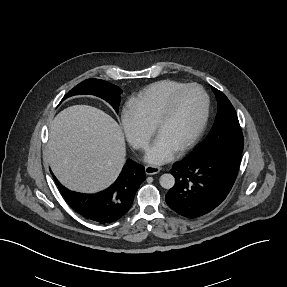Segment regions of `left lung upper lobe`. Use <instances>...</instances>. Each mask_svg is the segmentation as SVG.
Masks as SVG:
<instances>
[{
    "label": "left lung upper lobe",
    "instance_id": "left-lung-upper-lobe-1",
    "mask_svg": "<svg viewBox=\"0 0 287 287\" xmlns=\"http://www.w3.org/2000/svg\"><path fill=\"white\" fill-rule=\"evenodd\" d=\"M212 89L218 103L216 122L207 138L195 150L203 147L213 151L224 146L243 148V134L234 107L221 91L214 87Z\"/></svg>",
    "mask_w": 287,
    "mask_h": 287
}]
</instances>
